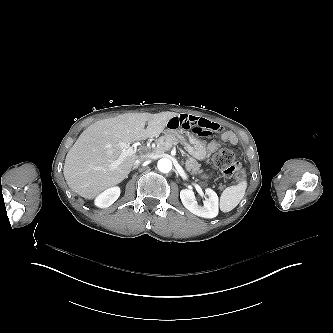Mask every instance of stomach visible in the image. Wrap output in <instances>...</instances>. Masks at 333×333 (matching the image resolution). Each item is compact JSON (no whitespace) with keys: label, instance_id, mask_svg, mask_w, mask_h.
<instances>
[{"label":"stomach","instance_id":"0dacf381","mask_svg":"<svg viewBox=\"0 0 333 333\" xmlns=\"http://www.w3.org/2000/svg\"><path fill=\"white\" fill-rule=\"evenodd\" d=\"M164 133L166 135H178V128H166ZM182 141L187 147L189 153L198 160L206 159L210 156V152L206 148V142L194 137L189 132H185V137H182Z\"/></svg>","mask_w":333,"mask_h":333}]
</instances>
